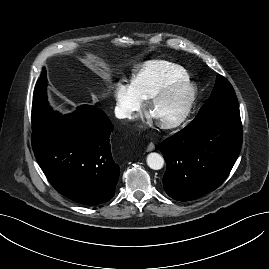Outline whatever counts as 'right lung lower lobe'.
Segmentation results:
<instances>
[{"label": "right lung lower lobe", "mask_w": 269, "mask_h": 269, "mask_svg": "<svg viewBox=\"0 0 269 269\" xmlns=\"http://www.w3.org/2000/svg\"><path fill=\"white\" fill-rule=\"evenodd\" d=\"M112 130L101 109L83 105L32 133L36 160L56 191L89 206L114 196L120 168L110 150Z\"/></svg>", "instance_id": "98d812e1"}]
</instances>
